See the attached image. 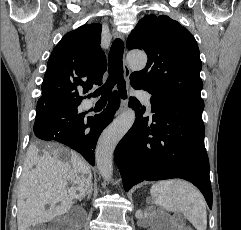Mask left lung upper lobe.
I'll use <instances>...</instances> for the list:
<instances>
[{
    "mask_svg": "<svg viewBox=\"0 0 241 230\" xmlns=\"http://www.w3.org/2000/svg\"><path fill=\"white\" fill-rule=\"evenodd\" d=\"M127 48L141 49L146 67L130 75V82L152 95L203 111L202 62L193 35L168 16L147 15L139 20Z\"/></svg>",
    "mask_w": 241,
    "mask_h": 230,
    "instance_id": "left-lung-upper-lobe-1",
    "label": "left lung upper lobe"
}]
</instances>
